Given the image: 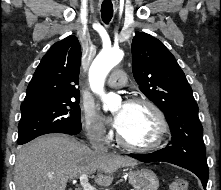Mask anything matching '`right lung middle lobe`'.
Returning <instances> with one entry per match:
<instances>
[{
  "mask_svg": "<svg viewBox=\"0 0 221 190\" xmlns=\"http://www.w3.org/2000/svg\"><path fill=\"white\" fill-rule=\"evenodd\" d=\"M81 128L79 98L21 105L18 144L49 133L79 134Z\"/></svg>",
  "mask_w": 221,
  "mask_h": 190,
  "instance_id": "right-lung-middle-lobe-1",
  "label": "right lung middle lobe"
}]
</instances>
